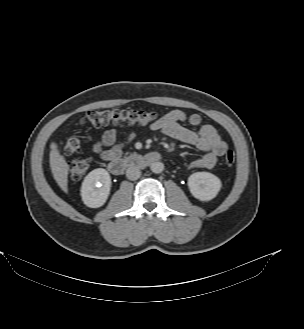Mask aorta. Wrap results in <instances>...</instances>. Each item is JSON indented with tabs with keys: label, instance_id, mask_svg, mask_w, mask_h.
<instances>
[{
	"label": "aorta",
	"instance_id": "aorta-1",
	"mask_svg": "<svg viewBox=\"0 0 304 329\" xmlns=\"http://www.w3.org/2000/svg\"><path fill=\"white\" fill-rule=\"evenodd\" d=\"M150 169L153 173H161L164 170V164L159 161L153 162L151 163Z\"/></svg>",
	"mask_w": 304,
	"mask_h": 329
}]
</instances>
